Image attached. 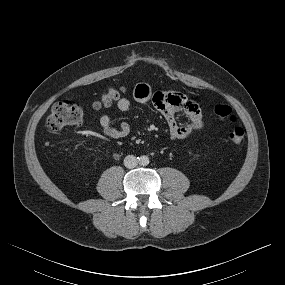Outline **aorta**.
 <instances>
[{
	"instance_id": "1",
	"label": "aorta",
	"mask_w": 285,
	"mask_h": 285,
	"mask_svg": "<svg viewBox=\"0 0 285 285\" xmlns=\"http://www.w3.org/2000/svg\"><path fill=\"white\" fill-rule=\"evenodd\" d=\"M139 164L142 166H146L149 164V158L146 155H142L139 157Z\"/></svg>"
}]
</instances>
